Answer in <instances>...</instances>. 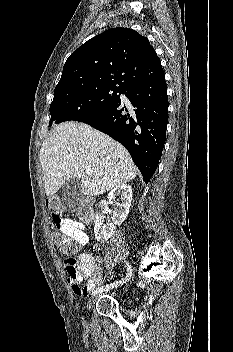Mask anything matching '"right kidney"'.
<instances>
[{
  "mask_svg": "<svg viewBox=\"0 0 233 352\" xmlns=\"http://www.w3.org/2000/svg\"><path fill=\"white\" fill-rule=\"evenodd\" d=\"M116 208L113 210L112 223L105 224L104 210L107 204H112L116 198ZM107 202L101 204L100 209L96 213V220L94 225V234L98 241L104 242L111 238L115 233V226L120 225L126 219L132 201V188L130 185L121 184L112 189L107 197Z\"/></svg>",
  "mask_w": 233,
  "mask_h": 352,
  "instance_id": "ca27d5eb",
  "label": "right kidney"
}]
</instances>
